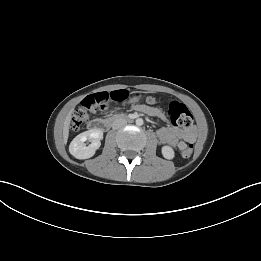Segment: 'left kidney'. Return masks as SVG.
Masks as SVG:
<instances>
[{
    "mask_svg": "<svg viewBox=\"0 0 261 261\" xmlns=\"http://www.w3.org/2000/svg\"><path fill=\"white\" fill-rule=\"evenodd\" d=\"M162 154L166 159H173L175 156L174 150L170 146H163Z\"/></svg>",
    "mask_w": 261,
    "mask_h": 261,
    "instance_id": "left-kidney-1",
    "label": "left kidney"
}]
</instances>
